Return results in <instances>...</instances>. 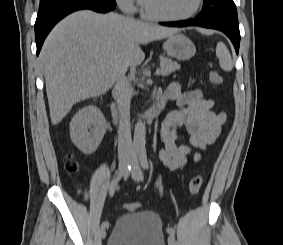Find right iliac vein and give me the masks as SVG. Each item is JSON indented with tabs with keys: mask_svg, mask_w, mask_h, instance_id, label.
<instances>
[{
	"mask_svg": "<svg viewBox=\"0 0 283 245\" xmlns=\"http://www.w3.org/2000/svg\"><path fill=\"white\" fill-rule=\"evenodd\" d=\"M129 162H130V158L127 157V156H124V157L120 158L119 166H118V174H122L125 171V169L128 166ZM100 237L102 239H104L106 237V227H103V226L101 227V229H100Z\"/></svg>",
	"mask_w": 283,
	"mask_h": 245,
	"instance_id": "right-iliac-vein-1",
	"label": "right iliac vein"
}]
</instances>
